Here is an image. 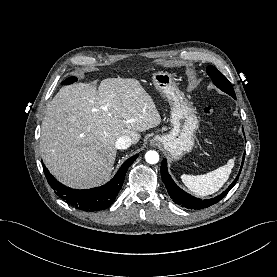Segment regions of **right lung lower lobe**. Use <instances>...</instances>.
I'll list each match as a JSON object with an SVG mask.
<instances>
[{"label":"right lung lower lobe","mask_w":277,"mask_h":277,"mask_svg":"<svg viewBox=\"0 0 277 277\" xmlns=\"http://www.w3.org/2000/svg\"><path fill=\"white\" fill-rule=\"evenodd\" d=\"M139 154L129 158L119 169L117 174L108 183L101 187L75 190L66 187L58 182L43 165V170L49 185L55 191L56 195L65 200L71 206L83 211H99L108 208L115 200L123 181L127 169L136 160Z\"/></svg>","instance_id":"98d812e1"}]
</instances>
